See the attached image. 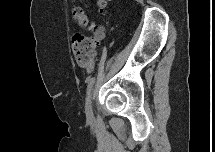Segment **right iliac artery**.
<instances>
[{"label": "right iliac artery", "mask_w": 215, "mask_h": 152, "mask_svg": "<svg viewBox=\"0 0 215 152\" xmlns=\"http://www.w3.org/2000/svg\"><path fill=\"white\" fill-rule=\"evenodd\" d=\"M94 82H95V77L91 78L90 81L88 82L87 92H86L87 95L90 94Z\"/></svg>", "instance_id": "obj_1"}]
</instances>
